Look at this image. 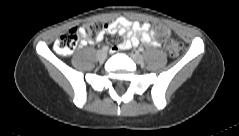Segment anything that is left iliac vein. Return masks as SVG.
<instances>
[{
  "label": "left iliac vein",
  "instance_id": "1",
  "mask_svg": "<svg viewBox=\"0 0 239 136\" xmlns=\"http://www.w3.org/2000/svg\"><path fill=\"white\" fill-rule=\"evenodd\" d=\"M130 57L137 64H142L144 62L143 56L141 54L137 53V52L131 53Z\"/></svg>",
  "mask_w": 239,
  "mask_h": 136
}]
</instances>
